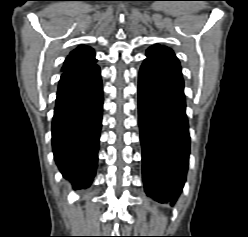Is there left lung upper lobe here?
Wrapping results in <instances>:
<instances>
[{
  "mask_svg": "<svg viewBox=\"0 0 248 237\" xmlns=\"http://www.w3.org/2000/svg\"><path fill=\"white\" fill-rule=\"evenodd\" d=\"M147 59L159 65L171 74L181 76L180 63L171 49L161 45L151 46L146 51Z\"/></svg>",
  "mask_w": 248,
  "mask_h": 237,
  "instance_id": "1",
  "label": "left lung upper lobe"
}]
</instances>
